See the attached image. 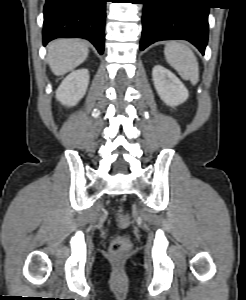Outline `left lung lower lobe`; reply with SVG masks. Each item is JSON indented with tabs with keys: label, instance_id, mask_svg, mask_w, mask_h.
I'll use <instances>...</instances> for the list:
<instances>
[{
	"label": "left lung lower lobe",
	"instance_id": "left-lung-lower-lobe-1",
	"mask_svg": "<svg viewBox=\"0 0 246 300\" xmlns=\"http://www.w3.org/2000/svg\"><path fill=\"white\" fill-rule=\"evenodd\" d=\"M140 49L161 40L183 39L204 55L209 7L205 0H143Z\"/></svg>",
	"mask_w": 246,
	"mask_h": 300
}]
</instances>
